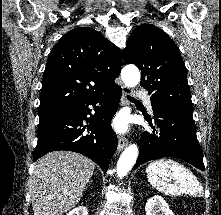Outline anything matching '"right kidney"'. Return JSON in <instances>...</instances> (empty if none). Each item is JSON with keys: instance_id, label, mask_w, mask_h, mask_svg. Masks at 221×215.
Here are the masks:
<instances>
[{"instance_id": "obj_1", "label": "right kidney", "mask_w": 221, "mask_h": 215, "mask_svg": "<svg viewBox=\"0 0 221 215\" xmlns=\"http://www.w3.org/2000/svg\"><path fill=\"white\" fill-rule=\"evenodd\" d=\"M67 215H88V211L85 206H78L71 210Z\"/></svg>"}]
</instances>
